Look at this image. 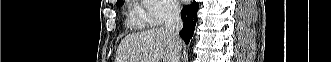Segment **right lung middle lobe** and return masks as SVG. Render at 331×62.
I'll list each match as a JSON object with an SVG mask.
<instances>
[{"mask_svg":"<svg viewBox=\"0 0 331 62\" xmlns=\"http://www.w3.org/2000/svg\"><path fill=\"white\" fill-rule=\"evenodd\" d=\"M122 4H123V1L117 3V5H122Z\"/></svg>","mask_w":331,"mask_h":62,"instance_id":"right-lung-middle-lobe-1","label":"right lung middle lobe"}]
</instances>
